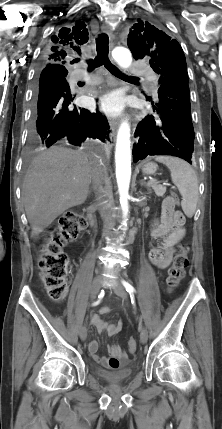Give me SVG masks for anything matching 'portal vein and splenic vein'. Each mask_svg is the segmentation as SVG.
I'll return each mask as SVG.
<instances>
[{
	"instance_id": "portal-vein-and-splenic-vein-1",
	"label": "portal vein and splenic vein",
	"mask_w": 222,
	"mask_h": 429,
	"mask_svg": "<svg viewBox=\"0 0 222 429\" xmlns=\"http://www.w3.org/2000/svg\"><path fill=\"white\" fill-rule=\"evenodd\" d=\"M152 182H156V180H153V179H152V180H150V181H149V184H150V183H152Z\"/></svg>"
}]
</instances>
